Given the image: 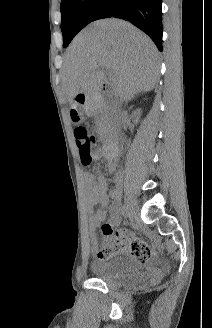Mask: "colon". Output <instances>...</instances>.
<instances>
[{"label":"colon","instance_id":"colon-1","mask_svg":"<svg viewBox=\"0 0 212 328\" xmlns=\"http://www.w3.org/2000/svg\"><path fill=\"white\" fill-rule=\"evenodd\" d=\"M74 133L81 163L84 166H89L92 163L96 154V139L88 132L86 127H84L83 125H78L75 128ZM102 231L104 239L99 254L103 257H107L113 252L116 245L117 237L116 235H114L111 227L108 224H104L102 226ZM150 255L151 253L149 251H145L141 261L148 259Z\"/></svg>","mask_w":212,"mask_h":328}]
</instances>
